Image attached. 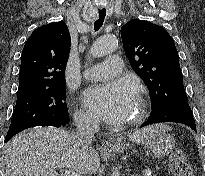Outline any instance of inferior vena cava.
Wrapping results in <instances>:
<instances>
[{"instance_id": "inferior-vena-cava-1", "label": "inferior vena cava", "mask_w": 205, "mask_h": 176, "mask_svg": "<svg viewBox=\"0 0 205 176\" xmlns=\"http://www.w3.org/2000/svg\"><path fill=\"white\" fill-rule=\"evenodd\" d=\"M76 133L73 136L74 143L83 149H90L95 138V133L99 130L97 119L80 116L75 118Z\"/></svg>"}]
</instances>
